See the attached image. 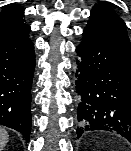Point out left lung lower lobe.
I'll list each match as a JSON object with an SVG mask.
<instances>
[{"instance_id":"0a47b994","label":"left lung lower lobe","mask_w":131,"mask_h":151,"mask_svg":"<svg viewBox=\"0 0 131 151\" xmlns=\"http://www.w3.org/2000/svg\"><path fill=\"white\" fill-rule=\"evenodd\" d=\"M76 53L77 138L108 131L131 142V53L84 33Z\"/></svg>"}]
</instances>
